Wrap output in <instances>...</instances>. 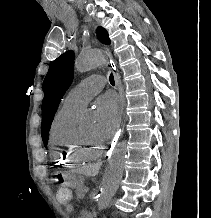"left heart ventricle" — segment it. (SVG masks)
<instances>
[{
	"instance_id": "1",
	"label": "left heart ventricle",
	"mask_w": 211,
	"mask_h": 218,
	"mask_svg": "<svg viewBox=\"0 0 211 218\" xmlns=\"http://www.w3.org/2000/svg\"><path fill=\"white\" fill-rule=\"evenodd\" d=\"M81 130L86 138L90 140H102L98 133L94 122L86 123L81 127Z\"/></svg>"
}]
</instances>
